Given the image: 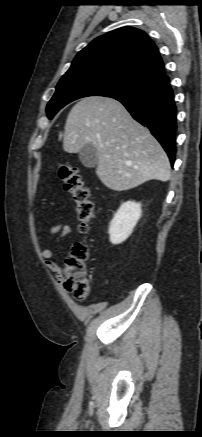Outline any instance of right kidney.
Listing matches in <instances>:
<instances>
[{
  "instance_id": "obj_1",
  "label": "right kidney",
  "mask_w": 202,
  "mask_h": 437,
  "mask_svg": "<svg viewBox=\"0 0 202 437\" xmlns=\"http://www.w3.org/2000/svg\"><path fill=\"white\" fill-rule=\"evenodd\" d=\"M142 214L141 204L133 201L123 203L115 213L109 226L110 242L120 244L133 232Z\"/></svg>"
}]
</instances>
